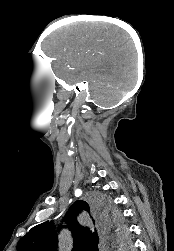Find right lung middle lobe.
Segmentation results:
<instances>
[{"mask_svg":"<svg viewBox=\"0 0 174 251\" xmlns=\"http://www.w3.org/2000/svg\"><path fill=\"white\" fill-rule=\"evenodd\" d=\"M95 206L103 228L108 233H113V237L115 235L113 246L125 248L126 246L122 243L120 237L126 233V227L122 222L120 212L114 208L109 199L101 194L95 196ZM114 230H116V234H114Z\"/></svg>","mask_w":174,"mask_h":251,"instance_id":"right-lung-middle-lobe-1","label":"right lung middle lobe"}]
</instances>
